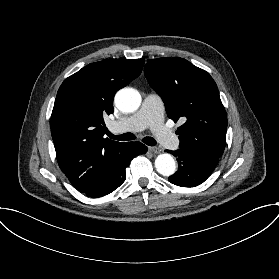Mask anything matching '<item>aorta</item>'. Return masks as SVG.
<instances>
[{
    "label": "aorta",
    "mask_w": 279,
    "mask_h": 279,
    "mask_svg": "<svg viewBox=\"0 0 279 279\" xmlns=\"http://www.w3.org/2000/svg\"><path fill=\"white\" fill-rule=\"evenodd\" d=\"M114 101L120 111L131 113L139 108L142 98L137 90L123 88L116 93ZM155 168L161 175L171 176L176 171V162L170 154H160L155 159Z\"/></svg>",
    "instance_id": "762f6f07"
}]
</instances>
